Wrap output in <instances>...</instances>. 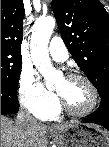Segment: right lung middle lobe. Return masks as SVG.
Returning <instances> with one entry per match:
<instances>
[{
  "label": "right lung middle lobe",
  "mask_w": 109,
  "mask_h": 147,
  "mask_svg": "<svg viewBox=\"0 0 109 147\" xmlns=\"http://www.w3.org/2000/svg\"><path fill=\"white\" fill-rule=\"evenodd\" d=\"M21 68L22 56L20 53L1 49V88L17 92Z\"/></svg>",
  "instance_id": "dd1d6c3e"
}]
</instances>
